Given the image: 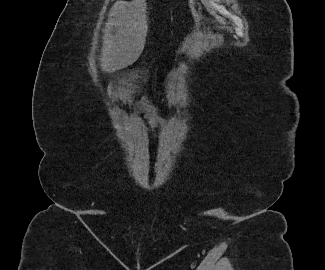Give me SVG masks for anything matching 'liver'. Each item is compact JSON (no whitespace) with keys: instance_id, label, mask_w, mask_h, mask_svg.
Here are the masks:
<instances>
[{"instance_id":"1","label":"liver","mask_w":325,"mask_h":270,"mask_svg":"<svg viewBox=\"0 0 325 270\" xmlns=\"http://www.w3.org/2000/svg\"><path fill=\"white\" fill-rule=\"evenodd\" d=\"M145 0H134L111 11L105 26L101 67L112 72L135 62L141 55L147 36Z\"/></svg>"}]
</instances>
